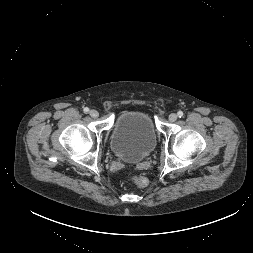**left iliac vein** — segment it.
Segmentation results:
<instances>
[{"label":"left iliac vein","mask_w":253,"mask_h":253,"mask_svg":"<svg viewBox=\"0 0 253 253\" xmlns=\"http://www.w3.org/2000/svg\"><path fill=\"white\" fill-rule=\"evenodd\" d=\"M177 117H178L177 114L172 113V114L169 115V121L170 122H175L177 120Z\"/></svg>","instance_id":"4c4485c4"}]
</instances>
